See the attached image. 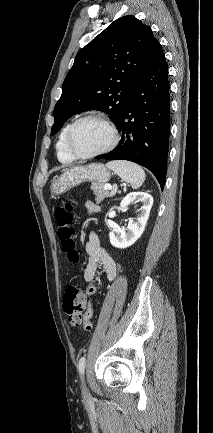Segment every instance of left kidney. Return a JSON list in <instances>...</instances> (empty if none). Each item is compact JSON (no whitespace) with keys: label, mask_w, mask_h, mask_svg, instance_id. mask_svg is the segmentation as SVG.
Returning a JSON list of instances; mask_svg holds the SVG:
<instances>
[{"label":"left kidney","mask_w":213,"mask_h":433,"mask_svg":"<svg viewBox=\"0 0 213 433\" xmlns=\"http://www.w3.org/2000/svg\"><path fill=\"white\" fill-rule=\"evenodd\" d=\"M135 200L142 203L137 221L131 220L126 228H113L109 233L110 243L116 248L124 249L133 245L144 232L153 205V198L145 192H131L123 198L120 208L125 209Z\"/></svg>","instance_id":"left-kidney-1"}]
</instances>
